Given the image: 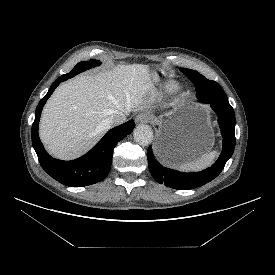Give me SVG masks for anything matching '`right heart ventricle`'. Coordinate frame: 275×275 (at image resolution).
<instances>
[{
	"instance_id": "obj_1",
	"label": "right heart ventricle",
	"mask_w": 275,
	"mask_h": 275,
	"mask_svg": "<svg viewBox=\"0 0 275 275\" xmlns=\"http://www.w3.org/2000/svg\"><path fill=\"white\" fill-rule=\"evenodd\" d=\"M175 90H176V85L171 82H167V83H164L158 90L155 91L154 96L158 98L165 94L173 93Z\"/></svg>"
}]
</instances>
